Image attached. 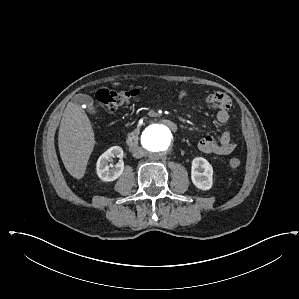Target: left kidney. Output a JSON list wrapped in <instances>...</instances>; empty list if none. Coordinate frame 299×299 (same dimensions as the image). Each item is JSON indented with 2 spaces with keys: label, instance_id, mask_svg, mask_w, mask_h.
I'll list each match as a JSON object with an SVG mask.
<instances>
[{
  "label": "left kidney",
  "instance_id": "obj_1",
  "mask_svg": "<svg viewBox=\"0 0 299 299\" xmlns=\"http://www.w3.org/2000/svg\"><path fill=\"white\" fill-rule=\"evenodd\" d=\"M191 180L201 190H209L213 185V168L203 157L192 160Z\"/></svg>",
  "mask_w": 299,
  "mask_h": 299
}]
</instances>
